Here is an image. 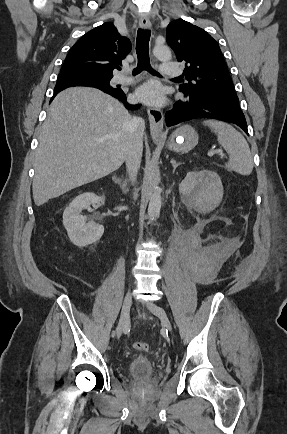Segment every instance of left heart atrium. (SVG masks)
Returning a JSON list of instances; mask_svg holds the SVG:
<instances>
[{
  "label": "left heart atrium",
  "mask_w": 287,
  "mask_h": 434,
  "mask_svg": "<svg viewBox=\"0 0 287 434\" xmlns=\"http://www.w3.org/2000/svg\"><path fill=\"white\" fill-rule=\"evenodd\" d=\"M136 97L146 104L159 106L165 102V90L157 82H148L137 90Z\"/></svg>",
  "instance_id": "39dd6f15"
}]
</instances>
